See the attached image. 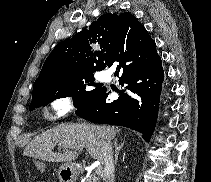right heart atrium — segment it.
<instances>
[{
    "mask_svg": "<svg viewBox=\"0 0 211 182\" xmlns=\"http://www.w3.org/2000/svg\"><path fill=\"white\" fill-rule=\"evenodd\" d=\"M74 110L71 96H61L50 103V115L53 120H61Z\"/></svg>",
    "mask_w": 211,
    "mask_h": 182,
    "instance_id": "1",
    "label": "right heart atrium"
}]
</instances>
